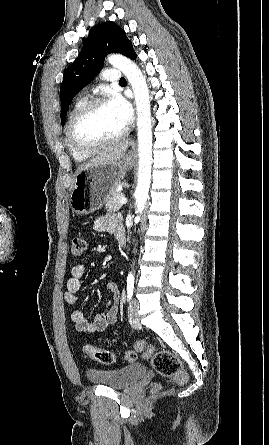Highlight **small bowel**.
<instances>
[{"instance_id": "small-bowel-1", "label": "small bowel", "mask_w": 269, "mask_h": 445, "mask_svg": "<svg viewBox=\"0 0 269 445\" xmlns=\"http://www.w3.org/2000/svg\"><path fill=\"white\" fill-rule=\"evenodd\" d=\"M94 229L98 232L117 234L124 231L118 218L114 215H103L94 221ZM85 274V266L82 263H76L71 269V277L66 284L64 300L69 305L77 303V294L81 290V280ZM106 289L110 294L106 310L94 321H89L81 310H73L71 320L77 331L86 333H98L104 331L109 325L117 320V304L119 302L118 287L114 282H108Z\"/></svg>"}]
</instances>
